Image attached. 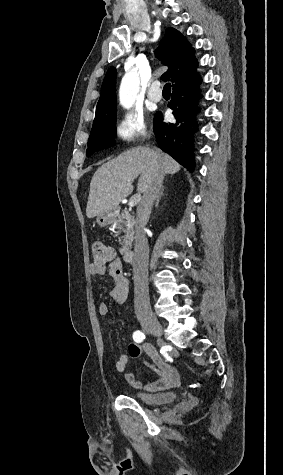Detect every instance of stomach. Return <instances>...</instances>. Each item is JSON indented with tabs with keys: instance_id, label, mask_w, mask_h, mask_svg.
Returning <instances> with one entry per match:
<instances>
[{
	"instance_id": "stomach-1",
	"label": "stomach",
	"mask_w": 283,
	"mask_h": 475,
	"mask_svg": "<svg viewBox=\"0 0 283 475\" xmlns=\"http://www.w3.org/2000/svg\"><path fill=\"white\" fill-rule=\"evenodd\" d=\"M117 216V210H107V212H102V214H98L96 222L97 224H99L100 228H105V226H108V224H113Z\"/></svg>"
}]
</instances>
